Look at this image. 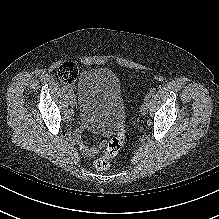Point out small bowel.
Here are the masks:
<instances>
[{
	"instance_id": "obj_1",
	"label": "small bowel",
	"mask_w": 219,
	"mask_h": 219,
	"mask_svg": "<svg viewBox=\"0 0 219 219\" xmlns=\"http://www.w3.org/2000/svg\"><path fill=\"white\" fill-rule=\"evenodd\" d=\"M80 137H81V134L79 133L78 138H80ZM80 146H81L82 152L86 156L93 157L99 153V151L103 148L104 144L100 143L97 146H87V145L83 144L82 142H80Z\"/></svg>"
}]
</instances>
